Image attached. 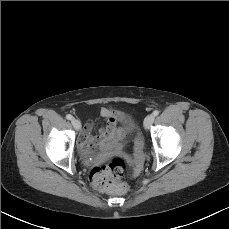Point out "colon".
Here are the masks:
<instances>
[{"label":"colon","mask_w":229,"mask_h":229,"mask_svg":"<svg viewBox=\"0 0 229 229\" xmlns=\"http://www.w3.org/2000/svg\"><path fill=\"white\" fill-rule=\"evenodd\" d=\"M137 148H141L138 141ZM125 173V161L119 157H112L109 162L93 168L90 172V182L96 189L114 194H125L127 187L121 181Z\"/></svg>","instance_id":"5ec220e1"}]
</instances>
